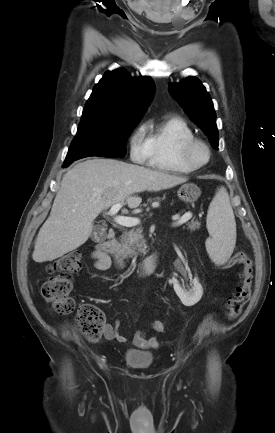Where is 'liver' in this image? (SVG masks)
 I'll return each mask as SVG.
<instances>
[{"mask_svg":"<svg viewBox=\"0 0 275 433\" xmlns=\"http://www.w3.org/2000/svg\"><path fill=\"white\" fill-rule=\"evenodd\" d=\"M188 179L114 159H89L67 171L54 199L50 216L36 238L32 258L53 261L83 245L93 221L116 203L136 208L135 193L159 191Z\"/></svg>","mask_w":275,"mask_h":433,"instance_id":"1","label":"liver"}]
</instances>
